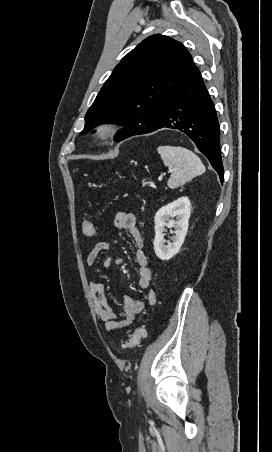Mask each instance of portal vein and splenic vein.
Instances as JSON below:
<instances>
[{"mask_svg": "<svg viewBox=\"0 0 272 452\" xmlns=\"http://www.w3.org/2000/svg\"><path fill=\"white\" fill-rule=\"evenodd\" d=\"M158 180L161 181L162 180V176H159Z\"/></svg>", "mask_w": 272, "mask_h": 452, "instance_id": "portal-vein-and-splenic-vein-1", "label": "portal vein and splenic vein"}]
</instances>
